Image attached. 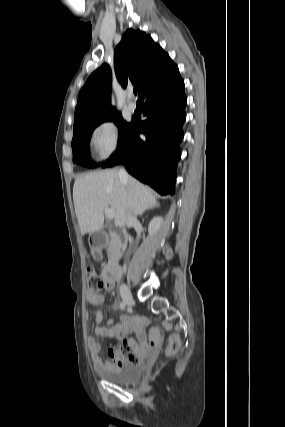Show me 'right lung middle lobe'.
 Instances as JSON below:
<instances>
[{
    "mask_svg": "<svg viewBox=\"0 0 285 427\" xmlns=\"http://www.w3.org/2000/svg\"><path fill=\"white\" fill-rule=\"evenodd\" d=\"M109 120L114 121V123L118 125V128H119L118 147L120 146V144L123 142L125 136L127 135L131 127L132 121L130 123H127L123 120L119 112H114L106 117L92 121L90 123H87L73 130V139H72L73 162H76L79 165L88 166V167L96 166L94 163H92L88 153L90 136L96 126H98L104 121H109Z\"/></svg>",
    "mask_w": 285,
    "mask_h": 427,
    "instance_id": "dd1d6c3e",
    "label": "right lung middle lobe"
}]
</instances>
